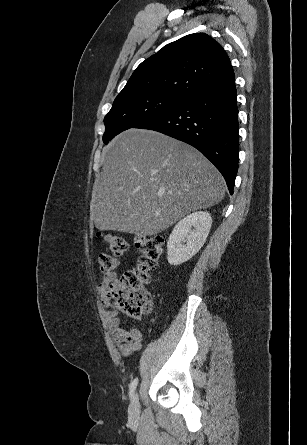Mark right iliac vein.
<instances>
[{
  "label": "right iliac vein",
  "mask_w": 307,
  "mask_h": 445,
  "mask_svg": "<svg viewBox=\"0 0 307 445\" xmlns=\"http://www.w3.org/2000/svg\"><path fill=\"white\" fill-rule=\"evenodd\" d=\"M139 411H140V404H139V398L138 394H134L133 398L131 400L130 406H129V418L131 421H135L139 417Z\"/></svg>",
  "instance_id": "1"
}]
</instances>
